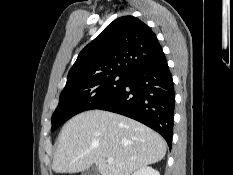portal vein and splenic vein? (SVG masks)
Segmentation results:
<instances>
[{
    "label": "portal vein and splenic vein",
    "mask_w": 233,
    "mask_h": 175,
    "mask_svg": "<svg viewBox=\"0 0 233 175\" xmlns=\"http://www.w3.org/2000/svg\"><path fill=\"white\" fill-rule=\"evenodd\" d=\"M107 162H108L109 164H112V163L114 162V159H113V158H108V159H107Z\"/></svg>",
    "instance_id": "obj_1"
}]
</instances>
